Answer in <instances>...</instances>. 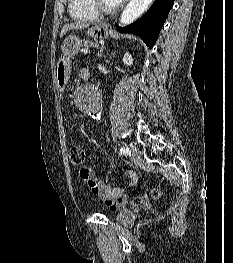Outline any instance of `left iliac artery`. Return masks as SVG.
<instances>
[{
  "label": "left iliac artery",
  "mask_w": 233,
  "mask_h": 263,
  "mask_svg": "<svg viewBox=\"0 0 233 263\" xmlns=\"http://www.w3.org/2000/svg\"><path fill=\"white\" fill-rule=\"evenodd\" d=\"M120 153L123 155H129L130 149L128 147H122V148H120Z\"/></svg>",
  "instance_id": "1"
}]
</instances>
